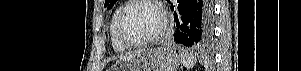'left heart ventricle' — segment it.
I'll use <instances>...</instances> for the list:
<instances>
[{
	"label": "left heart ventricle",
	"instance_id": "b2bd125f",
	"mask_svg": "<svg viewBox=\"0 0 301 71\" xmlns=\"http://www.w3.org/2000/svg\"><path fill=\"white\" fill-rule=\"evenodd\" d=\"M161 25V16L153 6L140 3L128 9L125 14L123 29L125 35L133 41L154 35Z\"/></svg>",
	"mask_w": 301,
	"mask_h": 71
}]
</instances>
